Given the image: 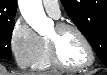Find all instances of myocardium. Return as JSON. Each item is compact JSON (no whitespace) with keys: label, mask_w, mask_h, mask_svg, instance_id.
<instances>
[{"label":"myocardium","mask_w":107,"mask_h":75,"mask_svg":"<svg viewBox=\"0 0 107 75\" xmlns=\"http://www.w3.org/2000/svg\"><path fill=\"white\" fill-rule=\"evenodd\" d=\"M55 29L57 33H62L67 30L74 31L82 40L83 44L87 49L88 56H89L87 62L82 65H79V66L68 65L64 63V61L60 57L56 40L48 38L47 41H48V47H49V57L52 65L55 68H58L60 70H66V71H82V70L88 69L90 66L93 65L95 61V52H94L93 46L90 43L87 36L79 27L71 23L62 22V23H58L55 26Z\"/></svg>","instance_id":"1"}]
</instances>
